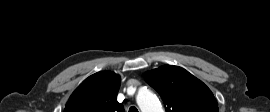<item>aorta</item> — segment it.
<instances>
[{
  "mask_svg": "<svg viewBox=\"0 0 270 112\" xmlns=\"http://www.w3.org/2000/svg\"><path fill=\"white\" fill-rule=\"evenodd\" d=\"M136 101L142 112H164L157 96L147 88L139 90Z\"/></svg>",
  "mask_w": 270,
  "mask_h": 112,
  "instance_id": "1",
  "label": "aorta"
}]
</instances>
